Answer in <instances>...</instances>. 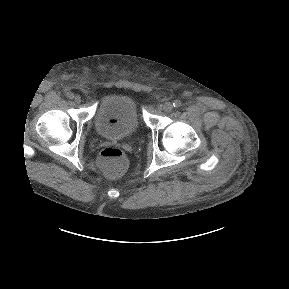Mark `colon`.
I'll return each instance as SVG.
<instances>
[{
    "label": "colon",
    "instance_id": "obj_1",
    "mask_svg": "<svg viewBox=\"0 0 289 289\" xmlns=\"http://www.w3.org/2000/svg\"><path fill=\"white\" fill-rule=\"evenodd\" d=\"M97 163L106 176L115 178L125 171L127 158L121 149L106 147L100 152Z\"/></svg>",
    "mask_w": 289,
    "mask_h": 289
}]
</instances>
